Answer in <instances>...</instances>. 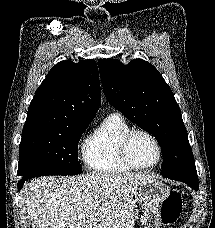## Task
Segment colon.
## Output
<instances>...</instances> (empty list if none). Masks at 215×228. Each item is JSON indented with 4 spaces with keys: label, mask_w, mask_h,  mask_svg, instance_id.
<instances>
[{
    "label": "colon",
    "mask_w": 215,
    "mask_h": 228,
    "mask_svg": "<svg viewBox=\"0 0 215 228\" xmlns=\"http://www.w3.org/2000/svg\"><path fill=\"white\" fill-rule=\"evenodd\" d=\"M182 199L178 192H171L161 205L160 215L165 226L174 225L181 214Z\"/></svg>",
    "instance_id": "5ec220e1"
}]
</instances>
